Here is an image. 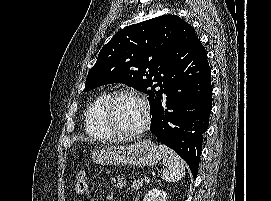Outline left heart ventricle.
Instances as JSON below:
<instances>
[{"label": "left heart ventricle", "instance_id": "left-heart-ventricle-1", "mask_svg": "<svg viewBox=\"0 0 271 201\" xmlns=\"http://www.w3.org/2000/svg\"><path fill=\"white\" fill-rule=\"evenodd\" d=\"M113 117L120 129L134 131L143 124L145 112L142 104L137 99L123 96L114 104Z\"/></svg>", "mask_w": 271, "mask_h": 201}]
</instances>
